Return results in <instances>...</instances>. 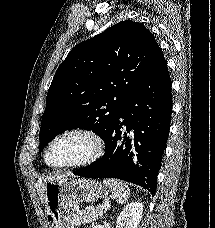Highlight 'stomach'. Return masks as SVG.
<instances>
[{
	"label": "stomach",
	"mask_w": 215,
	"mask_h": 228,
	"mask_svg": "<svg viewBox=\"0 0 215 228\" xmlns=\"http://www.w3.org/2000/svg\"><path fill=\"white\" fill-rule=\"evenodd\" d=\"M106 192L101 182L87 178H60L45 184L47 228H70L69 204L96 202Z\"/></svg>",
	"instance_id": "1"
}]
</instances>
